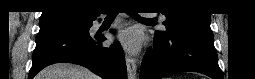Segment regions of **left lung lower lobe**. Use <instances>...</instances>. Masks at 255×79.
<instances>
[{"label":"left lung lower lobe","instance_id":"left-lung-lower-lobe-1","mask_svg":"<svg viewBox=\"0 0 255 79\" xmlns=\"http://www.w3.org/2000/svg\"><path fill=\"white\" fill-rule=\"evenodd\" d=\"M213 40L212 31L198 29L181 30L166 39L155 36L154 48L143 60L140 79H161L188 71L223 79Z\"/></svg>","mask_w":255,"mask_h":79}]
</instances>
